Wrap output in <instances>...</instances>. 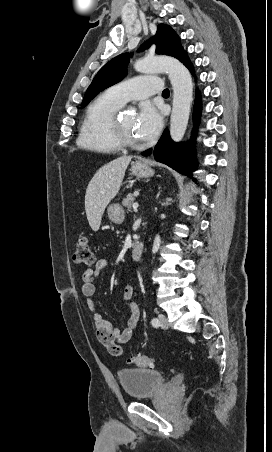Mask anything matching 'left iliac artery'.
Segmentation results:
<instances>
[{
  "label": "left iliac artery",
  "instance_id": "1",
  "mask_svg": "<svg viewBox=\"0 0 272 452\" xmlns=\"http://www.w3.org/2000/svg\"><path fill=\"white\" fill-rule=\"evenodd\" d=\"M151 324H152L154 327H158V326H159V320H158L157 318H153V319L151 320Z\"/></svg>",
  "mask_w": 272,
  "mask_h": 452
}]
</instances>
